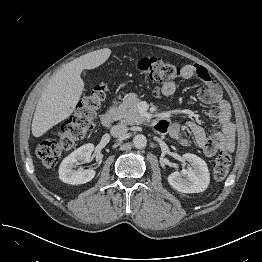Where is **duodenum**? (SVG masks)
<instances>
[{
	"label": "duodenum",
	"instance_id": "obj_1",
	"mask_svg": "<svg viewBox=\"0 0 262 262\" xmlns=\"http://www.w3.org/2000/svg\"><path fill=\"white\" fill-rule=\"evenodd\" d=\"M116 116H117V113L114 110L105 112L104 114H102L100 118L101 124L104 127H109L114 122Z\"/></svg>",
	"mask_w": 262,
	"mask_h": 262
}]
</instances>
